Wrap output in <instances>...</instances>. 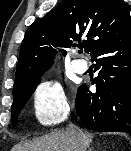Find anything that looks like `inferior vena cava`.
I'll return each mask as SVG.
<instances>
[{
  "label": "inferior vena cava",
  "instance_id": "1",
  "mask_svg": "<svg viewBox=\"0 0 131 151\" xmlns=\"http://www.w3.org/2000/svg\"><path fill=\"white\" fill-rule=\"evenodd\" d=\"M67 132L72 136L73 141L78 145V150L86 151L83 132L73 124H69Z\"/></svg>",
  "mask_w": 131,
  "mask_h": 151
}]
</instances>
